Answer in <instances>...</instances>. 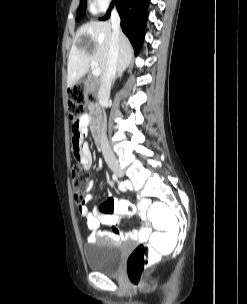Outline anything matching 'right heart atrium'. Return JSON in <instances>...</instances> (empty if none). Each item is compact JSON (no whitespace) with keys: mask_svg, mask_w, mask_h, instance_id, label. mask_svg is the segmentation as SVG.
Listing matches in <instances>:
<instances>
[{"mask_svg":"<svg viewBox=\"0 0 247 304\" xmlns=\"http://www.w3.org/2000/svg\"><path fill=\"white\" fill-rule=\"evenodd\" d=\"M91 5L98 11H104L108 8L112 0H90Z\"/></svg>","mask_w":247,"mask_h":304,"instance_id":"obj_1","label":"right heart atrium"}]
</instances>
